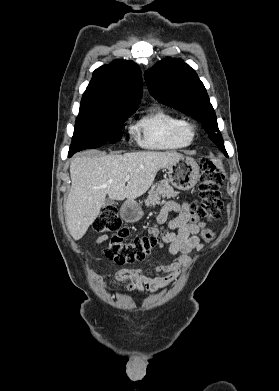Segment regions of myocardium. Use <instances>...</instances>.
<instances>
[{
	"instance_id": "1",
	"label": "myocardium",
	"mask_w": 279,
	"mask_h": 391,
	"mask_svg": "<svg viewBox=\"0 0 279 391\" xmlns=\"http://www.w3.org/2000/svg\"><path fill=\"white\" fill-rule=\"evenodd\" d=\"M184 134L192 140L195 136L196 133V125L193 122H184V127H183Z\"/></svg>"
}]
</instances>
